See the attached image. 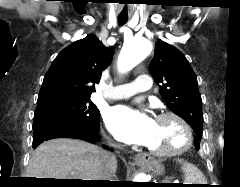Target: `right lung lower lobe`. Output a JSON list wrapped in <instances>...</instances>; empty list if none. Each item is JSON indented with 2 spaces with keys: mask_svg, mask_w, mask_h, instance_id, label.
Segmentation results:
<instances>
[{
  "mask_svg": "<svg viewBox=\"0 0 240 187\" xmlns=\"http://www.w3.org/2000/svg\"><path fill=\"white\" fill-rule=\"evenodd\" d=\"M99 131L100 123L80 128L65 123L51 122L34 129L33 147L36 148L43 141L55 138H76L95 143L100 139ZM102 186L113 185L105 184Z\"/></svg>",
  "mask_w": 240,
  "mask_h": 187,
  "instance_id": "98d812e1",
  "label": "right lung lower lobe"
}]
</instances>
